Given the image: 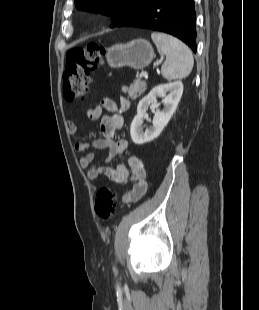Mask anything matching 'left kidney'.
<instances>
[{"label": "left kidney", "instance_id": "obj_1", "mask_svg": "<svg viewBox=\"0 0 259 310\" xmlns=\"http://www.w3.org/2000/svg\"><path fill=\"white\" fill-rule=\"evenodd\" d=\"M168 92V95L166 93ZM183 94V83L174 81L154 87L148 95L142 98L137 106V115L134 117L130 134L135 144H144L157 138L168 124ZM158 96H164V108L156 110L152 126L143 130L142 123L149 105L155 106Z\"/></svg>", "mask_w": 259, "mask_h": 310}]
</instances>
